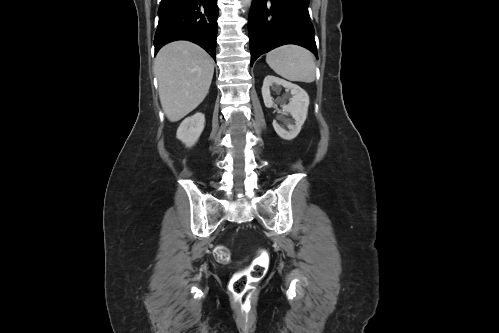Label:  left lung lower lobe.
Here are the masks:
<instances>
[{
	"mask_svg": "<svg viewBox=\"0 0 499 333\" xmlns=\"http://www.w3.org/2000/svg\"><path fill=\"white\" fill-rule=\"evenodd\" d=\"M309 0H253L248 22L251 66L262 54L285 44L310 50L316 58Z\"/></svg>",
	"mask_w": 499,
	"mask_h": 333,
	"instance_id": "obj_1",
	"label": "left lung lower lobe"
}]
</instances>
